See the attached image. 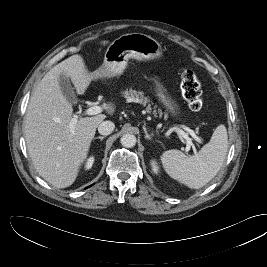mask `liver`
<instances>
[{
  "label": "liver",
  "instance_id": "6515ba94",
  "mask_svg": "<svg viewBox=\"0 0 267 267\" xmlns=\"http://www.w3.org/2000/svg\"><path fill=\"white\" fill-rule=\"evenodd\" d=\"M62 74L70 78L79 95L85 93L95 77L81 55L70 56L50 69L39 82L31 95L25 119L26 144L32 163L39 175L56 188H66L75 182L96 129L106 118L105 114L81 117L71 127L75 115L59 84ZM103 107L109 114L114 112L112 103Z\"/></svg>",
  "mask_w": 267,
  "mask_h": 267
}]
</instances>
